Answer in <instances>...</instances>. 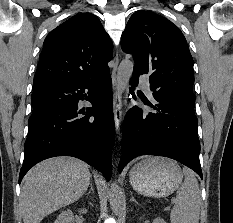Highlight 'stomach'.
I'll return each mask as SVG.
<instances>
[{"label":"stomach","mask_w":233,"mask_h":223,"mask_svg":"<svg viewBox=\"0 0 233 223\" xmlns=\"http://www.w3.org/2000/svg\"><path fill=\"white\" fill-rule=\"evenodd\" d=\"M130 183L147 197H166L178 189L183 173L176 161L167 157H144L129 171Z\"/></svg>","instance_id":"stomach-1"}]
</instances>
